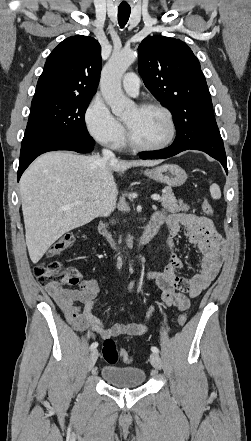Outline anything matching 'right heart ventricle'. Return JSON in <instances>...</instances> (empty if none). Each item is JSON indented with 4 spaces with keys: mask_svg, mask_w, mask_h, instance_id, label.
<instances>
[{
    "mask_svg": "<svg viewBox=\"0 0 251 441\" xmlns=\"http://www.w3.org/2000/svg\"><path fill=\"white\" fill-rule=\"evenodd\" d=\"M123 144H124V141L121 140V142H120V144H119L118 146H121V145H123Z\"/></svg>",
    "mask_w": 251,
    "mask_h": 441,
    "instance_id": "obj_1",
    "label": "right heart ventricle"
}]
</instances>
